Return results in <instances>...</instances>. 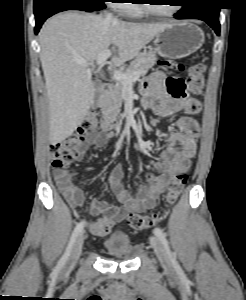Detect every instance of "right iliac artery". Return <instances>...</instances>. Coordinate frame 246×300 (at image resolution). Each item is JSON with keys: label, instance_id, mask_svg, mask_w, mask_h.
I'll return each mask as SVG.
<instances>
[{"label": "right iliac artery", "instance_id": "1", "mask_svg": "<svg viewBox=\"0 0 246 300\" xmlns=\"http://www.w3.org/2000/svg\"><path fill=\"white\" fill-rule=\"evenodd\" d=\"M84 224H85V222L82 221V222L78 223L77 226L75 227V229H74V231L72 232V235H71V237H70V240H69L68 246H67V248H66V251H65V253L63 254V256L60 258V260H59V262H58V267H62V266L66 263V261H67V259H68V257H69L70 251H71V249H72V246H73V244H74L75 241H76V238H77V237L82 233V231H83Z\"/></svg>", "mask_w": 246, "mask_h": 300}]
</instances>
